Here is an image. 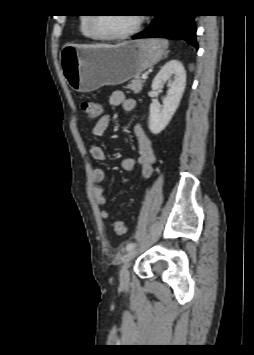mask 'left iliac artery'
Masks as SVG:
<instances>
[{"label": "left iliac artery", "mask_w": 254, "mask_h": 355, "mask_svg": "<svg viewBox=\"0 0 254 355\" xmlns=\"http://www.w3.org/2000/svg\"><path fill=\"white\" fill-rule=\"evenodd\" d=\"M134 246H135V244L133 242H130V243L127 244L126 249L127 250H131V249L134 248Z\"/></svg>", "instance_id": "1"}]
</instances>
